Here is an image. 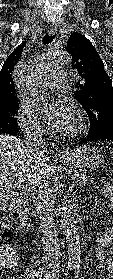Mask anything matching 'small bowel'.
Listing matches in <instances>:
<instances>
[{
	"instance_id": "obj_1",
	"label": "small bowel",
	"mask_w": 113,
	"mask_h": 279,
	"mask_svg": "<svg viewBox=\"0 0 113 279\" xmlns=\"http://www.w3.org/2000/svg\"><path fill=\"white\" fill-rule=\"evenodd\" d=\"M108 203L113 207V194H108ZM98 271L105 273L109 279H113V218L106 229L97 235L95 239Z\"/></svg>"
}]
</instances>
